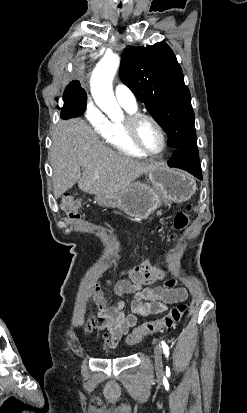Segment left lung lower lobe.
<instances>
[{"label": "left lung lower lobe", "mask_w": 247, "mask_h": 413, "mask_svg": "<svg viewBox=\"0 0 247 413\" xmlns=\"http://www.w3.org/2000/svg\"><path fill=\"white\" fill-rule=\"evenodd\" d=\"M168 166L186 170L202 180L197 146L175 150L172 158L168 161Z\"/></svg>", "instance_id": "1"}]
</instances>
